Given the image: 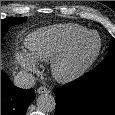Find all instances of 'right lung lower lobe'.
<instances>
[{
    "label": "right lung lower lobe",
    "mask_w": 115,
    "mask_h": 115,
    "mask_svg": "<svg viewBox=\"0 0 115 115\" xmlns=\"http://www.w3.org/2000/svg\"><path fill=\"white\" fill-rule=\"evenodd\" d=\"M34 98L33 89L14 86L8 76L1 72V115H25Z\"/></svg>",
    "instance_id": "1"
}]
</instances>
